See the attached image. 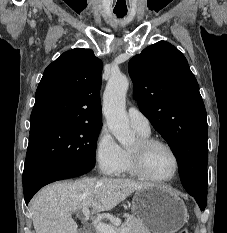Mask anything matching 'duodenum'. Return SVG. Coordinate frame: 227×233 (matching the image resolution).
<instances>
[{"instance_id":"1","label":"duodenum","mask_w":227,"mask_h":233,"mask_svg":"<svg viewBox=\"0 0 227 233\" xmlns=\"http://www.w3.org/2000/svg\"><path fill=\"white\" fill-rule=\"evenodd\" d=\"M84 233H91L90 231H85Z\"/></svg>"}]
</instances>
